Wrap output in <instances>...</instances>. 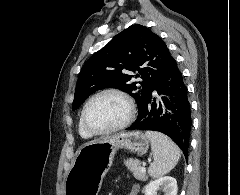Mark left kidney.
<instances>
[{
  "mask_svg": "<svg viewBox=\"0 0 240 195\" xmlns=\"http://www.w3.org/2000/svg\"><path fill=\"white\" fill-rule=\"evenodd\" d=\"M160 187H163L164 195H177V181L175 177H171V175H165V177H159V179L149 181L145 187V195H157Z\"/></svg>",
  "mask_w": 240,
  "mask_h": 195,
  "instance_id": "left-kidney-1",
  "label": "left kidney"
}]
</instances>
